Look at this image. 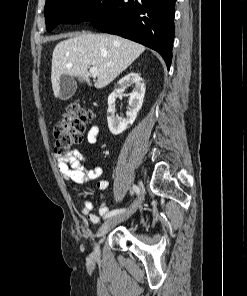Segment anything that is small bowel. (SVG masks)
<instances>
[{
  "instance_id": "obj_1",
  "label": "small bowel",
  "mask_w": 247,
  "mask_h": 296,
  "mask_svg": "<svg viewBox=\"0 0 247 296\" xmlns=\"http://www.w3.org/2000/svg\"><path fill=\"white\" fill-rule=\"evenodd\" d=\"M99 133V125H93L88 131V141L91 144L96 143ZM56 160L62 178L67 181L70 180L76 184H84L99 179L103 173V169L100 166H94L91 169L86 168L90 163V160L78 150H72L63 155H56ZM96 187L102 200L99 214L100 216L105 217L110 212L105 201V191L109 187V182L106 179H99ZM93 207L92 201L86 199L81 209V214L87 217L91 223L96 224L100 222V216L92 213Z\"/></svg>"
}]
</instances>
